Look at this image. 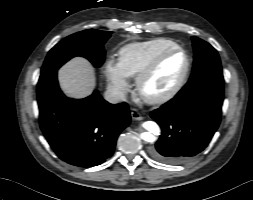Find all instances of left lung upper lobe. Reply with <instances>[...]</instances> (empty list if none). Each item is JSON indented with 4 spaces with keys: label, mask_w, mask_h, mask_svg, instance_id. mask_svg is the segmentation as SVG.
Masks as SVG:
<instances>
[{
    "label": "left lung upper lobe",
    "mask_w": 253,
    "mask_h": 200,
    "mask_svg": "<svg viewBox=\"0 0 253 200\" xmlns=\"http://www.w3.org/2000/svg\"><path fill=\"white\" fill-rule=\"evenodd\" d=\"M194 48V66L187 84L179 91L185 95L204 83L223 84L222 67L217 51L207 42L192 37Z\"/></svg>",
    "instance_id": "obj_1"
}]
</instances>
